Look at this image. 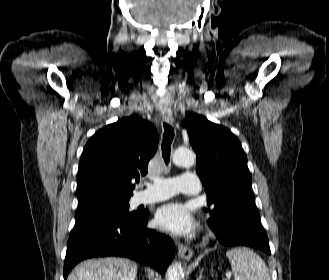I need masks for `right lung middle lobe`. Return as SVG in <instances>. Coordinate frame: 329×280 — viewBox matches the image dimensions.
Listing matches in <instances>:
<instances>
[{"instance_id": "dd1d6c3e", "label": "right lung middle lobe", "mask_w": 329, "mask_h": 280, "mask_svg": "<svg viewBox=\"0 0 329 280\" xmlns=\"http://www.w3.org/2000/svg\"><path fill=\"white\" fill-rule=\"evenodd\" d=\"M129 199L121 197L110 196H93L84 199H79V209L76 220L87 217L97 211L114 210L117 212L125 213L129 217H137V212H128Z\"/></svg>"}]
</instances>
